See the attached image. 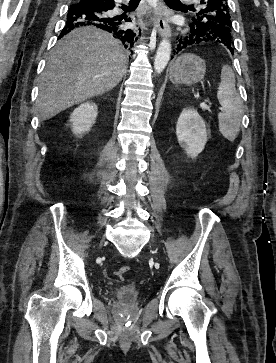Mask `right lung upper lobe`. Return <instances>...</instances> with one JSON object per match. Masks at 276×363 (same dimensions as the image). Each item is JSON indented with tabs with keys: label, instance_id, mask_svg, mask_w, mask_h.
Wrapping results in <instances>:
<instances>
[{
	"label": "right lung upper lobe",
	"instance_id": "right-lung-upper-lobe-1",
	"mask_svg": "<svg viewBox=\"0 0 276 363\" xmlns=\"http://www.w3.org/2000/svg\"><path fill=\"white\" fill-rule=\"evenodd\" d=\"M75 1V0H74ZM104 1H108V2H110V1H114V0H104Z\"/></svg>",
	"mask_w": 276,
	"mask_h": 363
}]
</instances>
